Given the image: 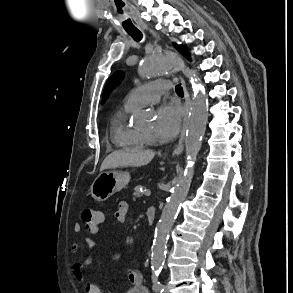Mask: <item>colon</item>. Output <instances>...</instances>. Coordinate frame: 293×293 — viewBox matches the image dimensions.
<instances>
[{"instance_id": "5ec220e1", "label": "colon", "mask_w": 293, "mask_h": 293, "mask_svg": "<svg viewBox=\"0 0 293 293\" xmlns=\"http://www.w3.org/2000/svg\"><path fill=\"white\" fill-rule=\"evenodd\" d=\"M81 220L85 228L95 230L101 223V212L91 208H85L81 212Z\"/></svg>"}]
</instances>
